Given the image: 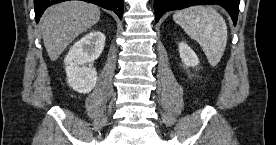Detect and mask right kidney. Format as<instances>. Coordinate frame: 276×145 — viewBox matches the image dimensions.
Listing matches in <instances>:
<instances>
[{"instance_id":"right-kidney-1","label":"right kidney","mask_w":276,"mask_h":145,"mask_svg":"<svg viewBox=\"0 0 276 145\" xmlns=\"http://www.w3.org/2000/svg\"><path fill=\"white\" fill-rule=\"evenodd\" d=\"M105 46V35L93 30L77 41L64 59L67 83L79 93H89L96 85L97 72L94 61Z\"/></svg>"}]
</instances>
